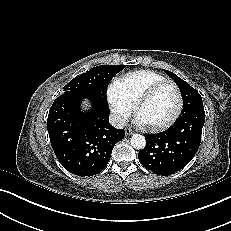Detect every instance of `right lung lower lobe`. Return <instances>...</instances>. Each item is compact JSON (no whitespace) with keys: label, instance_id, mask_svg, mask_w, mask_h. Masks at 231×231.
Wrapping results in <instances>:
<instances>
[{"label":"right lung lower lobe","instance_id":"right-lung-lower-lobe-1","mask_svg":"<svg viewBox=\"0 0 231 231\" xmlns=\"http://www.w3.org/2000/svg\"><path fill=\"white\" fill-rule=\"evenodd\" d=\"M88 95L65 92L50 108L47 128L54 153L72 174L93 176L107 165L114 145L125 136L124 130L109 123L108 106L89 96L93 110L80 113L79 100Z\"/></svg>","mask_w":231,"mask_h":231}]
</instances>
